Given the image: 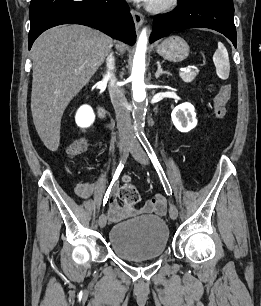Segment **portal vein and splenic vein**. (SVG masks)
Here are the masks:
<instances>
[{
    "label": "portal vein and splenic vein",
    "mask_w": 261,
    "mask_h": 306,
    "mask_svg": "<svg viewBox=\"0 0 261 306\" xmlns=\"http://www.w3.org/2000/svg\"><path fill=\"white\" fill-rule=\"evenodd\" d=\"M190 71H191V68H190V67L181 69V72H184V73H187V72H190Z\"/></svg>",
    "instance_id": "portal-vein-and-splenic-vein-1"
}]
</instances>
